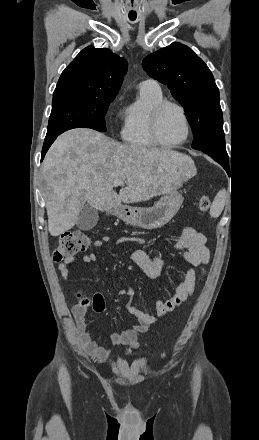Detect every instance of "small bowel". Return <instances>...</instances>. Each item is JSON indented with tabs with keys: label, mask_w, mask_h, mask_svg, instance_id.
Listing matches in <instances>:
<instances>
[{
	"label": "small bowel",
	"mask_w": 259,
	"mask_h": 440,
	"mask_svg": "<svg viewBox=\"0 0 259 440\" xmlns=\"http://www.w3.org/2000/svg\"><path fill=\"white\" fill-rule=\"evenodd\" d=\"M128 241H139V239L121 237L117 239L115 243L119 245ZM109 242V237H103L100 240L94 241L93 246L100 248ZM168 251L178 253L180 259L188 265L183 279L176 285L174 295L167 300H158L153 308L155 315H152L140 310L134 305L133 295L135 291L133 288L119 290V295L128 297L127 311L136 318L137 323L130 329L107 334L106 339L110 343L119 346L130 345L137 347L139 337L142 333L152 324L156 323L159 317L166 315L168 312L182 305L188 297L193 294L198 281L205 274V266L209 262V250L206 246L205 236L191 226H184L180 239L174 243ZM131 259L150 278L159 277L166 265V260L161 253L152 255L143 249L135 250L131 255ZM95 260L96 256L94 254H87L82 258L84 263H91ZM73 263L74 258L68 257L60 264L59 273L62 278H66L70 274ZM196 267L200 268L199 274L195 271ZM93 310L97 313L106 311L104 299L100 294H95L93 297ZM85 312L86 308L74 307L77 330L82 348L93 359L103 361L109 356L110 350L100 347L92 338V334L86 323Z\"/></svg>",
	"instance_id": "c3829d8e"
}]
</instances>
